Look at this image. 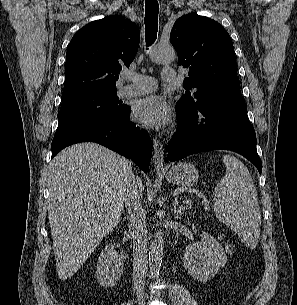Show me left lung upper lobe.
<instances>
[{"mask_svg": "<svg viewBox=\"0 0 297 305\" xmlns=\"http://www.w3.org/2000/svg\"><path fill=\"white\" fill-rule=\"evenodd\" d=\"M170 38L178 65L189 69L183 83L185 95L177 106L193 110L206 100L239 89L233 43L218 22L189 13L176 20ZM192 88L196 91L191 96Z\"/></svg>", "mask_w": 297, "mask_h": 305, "instance_id": "obj_1", "label": "left lung upper lobe"}]
</instances>
